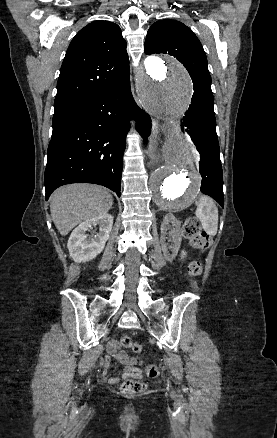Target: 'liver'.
Instances as JSON below:
<instances>
[{"instance_id": "6515ba94", "label": "liver", "mask_w": 277, "mask_h": 438, "mask_svg": "<svg viewBox=\"0 0 277 438\" xmlns=\"http://www.w3.org/2000/svg\"><path fill=\"white\" fill-rule=\"evenodd\" d=\"M112 206L113 196L92 184L62 186L50 198L52 220L61 236H67L84 220L107 214Z\"/></svg>"}]
</instances>
